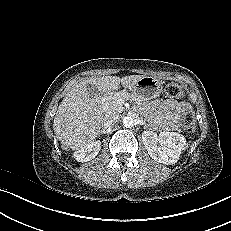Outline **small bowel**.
<instances>
[{"instance_id":"c3829d8e","label":"small bowel","mask_w":231,"mask_h":231,"mask_svg":"<svg viewBox=\"0 0 231 231\" xmlns=\"http://www.w3.org/2000/svg\"><path fill=\"white\" fill-rule=\"evenodd\" d=\"M151 111L155 114L156 123L163 129H174L180 114L190 110L186 102L175 100L154 101L150 104Z\"/></svg>"}]
</instances>
